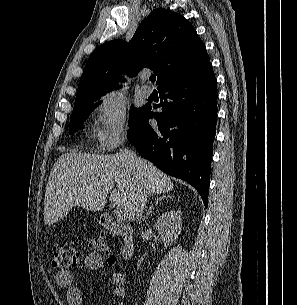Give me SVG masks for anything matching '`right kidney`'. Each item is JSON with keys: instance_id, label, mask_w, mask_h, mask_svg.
I'll return each instance as SVG.
<instances>
[{"instance_id": "obj_1", "label": "right kidney", "mask_w": 297, "mask_h": 305, "mask_svg": "<svg viewBox=\"0 0 297 305\" xmlns=\"http://www.w3.org/2000/svg\"><path fill=\"white\" fill-rule=\"evenodd\" d=\"M181 217V210L165 212L158 217L155 227L164 243L165 248L172 245L177 239L178 235L181 233Z\"/></svg>"}]
</instances>
